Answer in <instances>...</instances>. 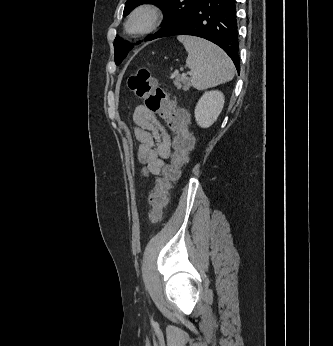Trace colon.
Segmentation results:
<instances>
[{
	"mask_svg": "<svg viewBox=\"0 0 333 346\" xmlns=\"http://www.w3.org/2000/svg\"><path fill=\"white\" fill-rule=\"evenodd\" d=\"M128 87L144 101V106L149 112L159 114L175 132L171 161L164 167L162 175L157 178L154 189L149 195L151 209L148 217L150 221L158 222L167 204V194L171 185L178 179L180 169L188 161V154L193 146V135L188 129L186 112L174 106L166 91L157 84L148 69L140 68L132 74L128 78Z\"/></svg>",
	"mask_w": 333,
	"mask_h": 346,
	"instance_id": "1",
	"label": "colon"
}]
</instances>
